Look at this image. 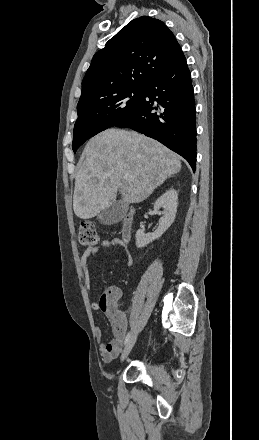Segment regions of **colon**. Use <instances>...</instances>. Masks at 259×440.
I'll use <instances>...</instances> for the list:
<instances>
[{"instance_id": "colon-1", "label": "colon", "mask_w": 259, "mask_h": 440, "mask_svg": "<svg viewBox=\"0 0 259 440\" xmlns=\"http://www.w3.org/2000/svg\"><path fill=\"white\" fill-rule=\"evenodd\" d=\"M99 233L90 222H82L79 227V242L82 246L93 247L99 243Z\"/></svg>"}]
</instances>
